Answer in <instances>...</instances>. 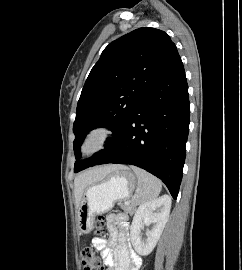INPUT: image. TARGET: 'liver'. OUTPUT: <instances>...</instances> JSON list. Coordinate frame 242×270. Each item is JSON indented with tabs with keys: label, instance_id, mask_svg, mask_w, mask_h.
<instances>
[{
	"label": "liver",
	"instance_id": "1",
	"mask_svg": "<svg viewBox=\"0 0 242 270\" xmlns=\"http://www.w3.org/2000/svg\"><path fill=\"white\" fill-rule=\"evenodd\" d=\"M121 165H107L87 170L79 174L75 180V200L78 207L85 189L94 183H97L107 177L113 171L120 169Z\"/></svg>",
	"mask_w": 242,
	"mask_h": 270
}]
</instances>
